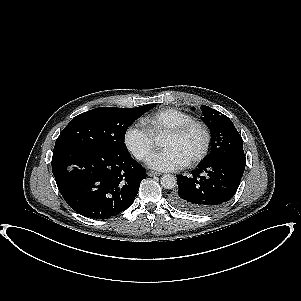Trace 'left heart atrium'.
<instances>
[{
  "instance_id": "obj_1",
  "label": "left heart atrium",
  "mask_w": 301,
  "mask_h": 301,
  "mask_svg": "<svg viewBox=\"0 0 301 301\" xmlns=\"http://www.w3.org/2000/svg\"><path fill=\"white\" fill-rule=\"evenodd\" d=\"M186 164L187 160L171 149H163L147 159V165L159 171H177L185 167Z\"/></svg>"
}]
</instances>
